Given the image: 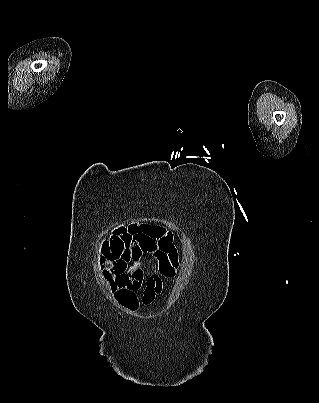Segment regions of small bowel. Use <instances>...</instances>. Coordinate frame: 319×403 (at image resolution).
I'll list each match as a JSON object with an SVG mask.
<instances>
[{
  "instance_id": "1",
  "label": "small bowel",
  "mask_w": 319,
  "mask_h": 403,
  "mask_svg": "<svg viewBox=\"0 0 319 403\" xmlns=\"http://www.w3.org/2000/svg\"><path fill=\"white\" fill-rule=\"evenodd\" d=\"M143 255L150 256L158 275L146 278L141 267ZM182 256L175 249L172 236L162 229L118 224L101 241L99 271L113 289L117 305L126 312H137L142 303H151L162 288L161 277L175 274ZM144 288L141 297L137 294Z\"/></svg>"
}]
</instances>
